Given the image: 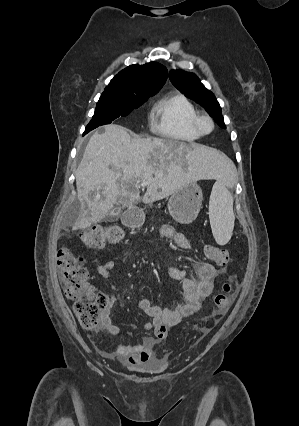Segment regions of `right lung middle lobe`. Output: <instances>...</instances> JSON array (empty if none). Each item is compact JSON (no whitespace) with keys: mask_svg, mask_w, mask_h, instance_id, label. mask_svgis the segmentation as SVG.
I'll return each instance as SVG.
<instances>
[{"mask_svg":"<svg viewBox=\"0 0 299 426\" xmlns=\"http://www.w3.org/2000/svg\"><path fill=\"white\" fill-rule=\"evenodd\" d=\"M156 92L157 91H147L137 97L128 98L104 91L99 98L93 118L87 125L84 134L98 126L109 124L120 116H127L133 109L141 106Z\"/></svg>","mask_w":299,"mask_h":426,"instance_id":"obj_1","label":"right lung middle lobe"}]
</instances>
